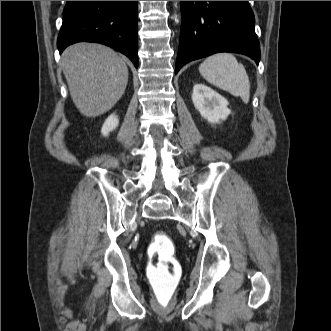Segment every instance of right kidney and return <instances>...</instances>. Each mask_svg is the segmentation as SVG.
Instances as JSON below:
<instances>
[{"mask_svg":"<svg viewBox=\"0 0 331 331\" xmlns=\"http://www.w3.org/2000/svg\"><path fill=\"white\" fill-rule=\"evenodd\" d=\"M118 117L114 114L110 115L106 121L104 122L102 129H101V133L103 136H108V134L113 131L114 129H116V127L118 126Z\"/></svg>","mask_w":331,"mask_h":331,"instance_id":"obj_1","label":"right kidney"}]
</instances>
